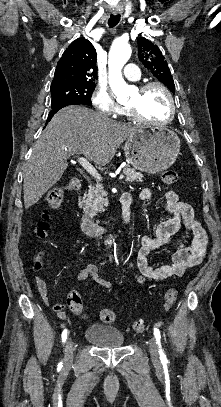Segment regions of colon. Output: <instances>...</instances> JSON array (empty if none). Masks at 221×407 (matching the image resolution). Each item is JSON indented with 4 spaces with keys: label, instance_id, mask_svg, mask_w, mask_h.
Wrapping results in <instances>:
<instances>
[{
    "label": "colon",
    "instance_id": "5ec220e1",
    "mask_svg": "<svg viewBox=\"0 0 221 407\" xmlns=\"http://www.w3.org/2000/svg\"><path fill=\"white\" fill-rule=\"evenodd\" d=\"M179 179L178 172L174 169L165 170L161 175V181L166 185L175 184ZM64 188H51L48 190L46 200L52 209H57L64 197ZM48 224L46 222H40L36 227L35 233L43 237L46 234ZM37 266L41 265V261L37 260ZM177 290L175 288H168L164 296V309L169 311L177 298ZM68 306L71 311L77 315H82L83 304L78 296H74L72 300L68 302ZM101 320L105 323H113L116 320V312L111 309H103L100 312ZM132 330L137 334H142L146 331V323L143 320L135 321L132 324Z\"/></svg>",
    "mask_w": 221,
    "mask_h": 407
}]
</instances>
